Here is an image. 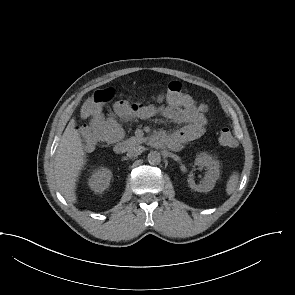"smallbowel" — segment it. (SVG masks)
Masks as SVG:
<instances>
[{"label":"small bowel","mask_w":295,"mask_h":295,"mask_svg":"<svg viewBox=\"0 0 295 295\" xmlns=\"http://www.w3.org/2000/svg\"><path fill=\"white\" fill-rule=\"evenodd\" d=\"M166 106H145L140 103L126 100L117 101L113 106V112L104 116L101 112L94 114L90 120V126L100 127L104 130V139L114 143L123 135L121 122L133 118L146 119L156 113L184 126L170 134L159 132L162 143L171 149H179L184 143L199 138L205 132L207 118L194 102L180 103L167 96Z\"/></svg>","instance_id":"small-bowel-1"}]
</instances>
